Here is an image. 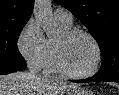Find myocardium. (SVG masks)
Here are the masks:
<instances>
[{"mask_svg": "<svg viewBox=\"0 0 119 95\" xmlns=\"http://www.w3.org/2000/svg\"><path fill=\"white\" fill-rule=\"evenodd\" d=\"M77 35H84L92 41L96 49V61L94 66L89 71L84 73H77L70 70L64 61L62 43L58 41L55 42V65L59 72L68 77L76 79L90 78L94 76L101 67L103 60L102 48L96 37L87 30L81 28H70L63 32L64 40H69Z\"/></svg>", "mask_w": 119, "mask_h": 95, "instance_id": "obj_1", "label": "myocardium"}]
</instances>
